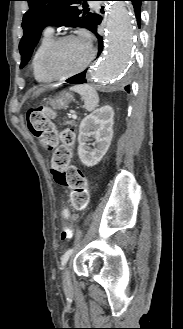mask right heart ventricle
<instances>
[{"instance_id": "e07e8e85", "label": "right heart ventricle", "mask_w": 183, "mask_h": 329, "mask_svg": "<svg viewBox=\"0 0 183 329\" xmlns=\"http://www.w3.org/2000/svg\"><path fill=\"white\" fill-rule=\"evenodd\" d=\"M53 40H54L53 34L45 32L39 44L37 45L31 60V66H32L34 77L38 82L41 83H46L51 81L46 75V73L44 72L43 57L45 51L47 50L48 46L52 43Z\"/></svg>"}]
</instances>
